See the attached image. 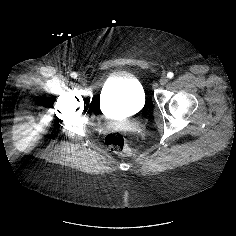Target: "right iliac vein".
Here are the masks:
<instances>
[{"mask_svg": "<svg viewBox=\"0 0 236 236\" xmlns=\"http://www.w3.org/2000/svg\"><path fill=\"white\" fill-rule=\"evenodd\" d=\"M77 79L79 82L85 83V78H83L82 76H79Z\"/></svg>", "mask_w": 236, "mask_h": 236, "instance_id": "63e3f726", "label": "right iliac vein"}]
</instances>
